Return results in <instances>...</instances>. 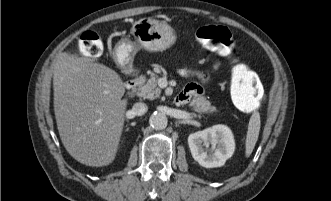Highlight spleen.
<instances>
[{
    "label": "spleen",
    "mask_w": 331,
    "mask_h": 201,
    "mask_svg": "<svg viewBox=\"0 0 331 201\" xmlns=\"http://www.w3.org/2000/svg\"><path fill=\"white\" fill-rule=\"evenodd\" d=\"M260 115L257 111H254L248 124V131L246 135L245 142V155L249 157L253 152L255 144L258 140L259 131H260Z\"/></svg>",
    "instance_id": "spleen-1"
}]
</instances>
